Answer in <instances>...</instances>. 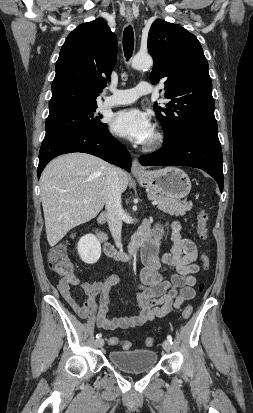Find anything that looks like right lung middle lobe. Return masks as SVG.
I'll return each instance as SVG.
<instances>
[{
  "label": "right lung middle lobe",
  "instance_id": "right-lung-middle-lobe-1",
  "mask_svg": "<svg viewBox=\"0 0 253 413\" xmlns=\"http://www.w3.org/2000/svg\"><path fill=\"white\" fill-rule=\"evenodd\" d=\"M97 107L69 110L48 116L45 123V138L65 133H92L106 127L100 119L94 117Z\"/></svg>",
  "mask_w": 253,
  "mask_h": 413
}]
</instances>
